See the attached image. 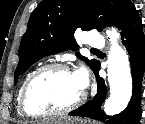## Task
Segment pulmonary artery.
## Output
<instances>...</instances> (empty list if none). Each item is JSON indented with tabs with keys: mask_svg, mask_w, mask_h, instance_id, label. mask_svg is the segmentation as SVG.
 Instances as JSON below:
<instances>
[{
	"mask_svg": "<svg viewBox=\"0 0 145 124\" xmlns=\"http://www.w3.org/2000/svg\"><path fill=\"white\" fill-rule=\"evenodd\" d=\"M86 44L89 48H101L104 46L103 36L94 30L88 31Z\"/></svg>",
	"mask_w": 145,
	"mask_h": 124,
	"instance_id": "obj_1",
	"label": "pulmonary artery"
}]
</instances>
